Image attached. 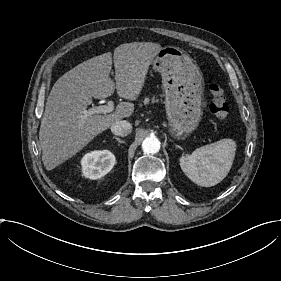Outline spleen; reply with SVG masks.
Here are the masks:
<instances>
[{
	"instance_id": "1",
	"label": "spleen",
	"mask_w": 281,
	"mask_h": 281,
	"mask_svg": "<svg viewBox=\"0 0 281 281\" xmlns=\"http://www.w3.org/2000/svg\"><path fill=\"white\" fill-rule=\"evenodd\" d=\"M236 142L222 139L202 146L191 155L180 158L185 175L201 186L210 187L221 182L229 173L235 157Z\"/></svg>"
}]
</instances>
